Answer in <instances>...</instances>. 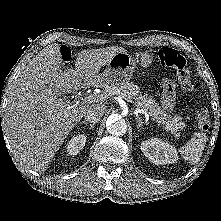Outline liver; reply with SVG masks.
<instances>
[{
    "label": "liver",
    "instance_id": "6515ba94",
    "mask_svg": "<svg viewBox=\"0 0 221 221\" xmlns=\"http://www.w3.org/2000/svg\"><path fill=\"white\" fill-rule=\"evenodd\" d=\"M122 47L82 50L75 68L64 71L58 44H51L38 53L16 79L3 128L14 157L38 172L45 171L59 146L93 105L72 106L58 98L74 93L85 85L102 86L100 69ZM83 82V83H82Z\"/></svg>",
    "mask_w": 221,
    "mask_h": 221
}]
</instances>
